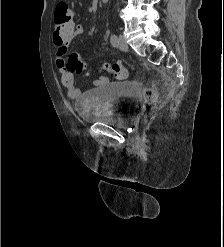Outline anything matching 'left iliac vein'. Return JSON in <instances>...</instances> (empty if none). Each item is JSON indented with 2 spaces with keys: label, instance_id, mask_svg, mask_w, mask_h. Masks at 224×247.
Masks as SVG:
<instances>
[{
  "label": "left iliac vein",
  "instance_id": "left-iliac-vein-1",
  "mask_svg": "<svg viewBox=\"0 0 224 247\" xmlns=\"http://www.w3.org/2000/svg\"><path fill=\"white\" fill-rule=\"evenodd\" d=\"M117 47L122 51H128L129 47L126 43V39L123 35H119L117 38Z\"/></svg>",
  "mask_w": 224,
  "mask_h": 247
}]
</instances>
